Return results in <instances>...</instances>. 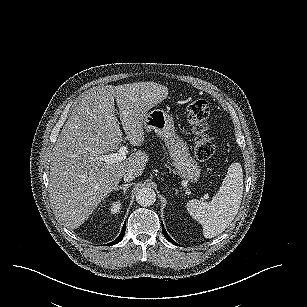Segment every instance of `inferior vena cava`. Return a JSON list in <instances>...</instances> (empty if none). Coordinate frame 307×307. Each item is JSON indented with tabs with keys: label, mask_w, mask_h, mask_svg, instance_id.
<instances>
[{
	"label": "inferior vena cava",
	"mask_w": 307,
	"mask_h": 307,
	"mask_svg": "<svg viewBox=\"0 0 307 307\" xmlns=\"http://www.w3.org/2000/svg\"><path fill=\"white\" fill-rule=\"evenodd\" d=\"M135 177L136 176L134 175V173L131 170H128L123 174V178H124L125 182H131V181L135 180Z\"/></svg>",
	"instance_id": "obj_1"
}]
</instances>
